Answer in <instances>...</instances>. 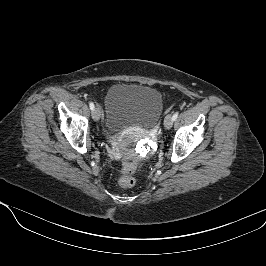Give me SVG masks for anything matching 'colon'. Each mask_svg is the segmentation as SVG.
<instances>
[{
  "instance_id": "5ec220e1",
  "label": "colon",
  "mask_w": 266,
  "mask_h": 266,
  "mask_svg": "<svg viewBox=\"0 0 266 266\" xmlns=\"http://www.w3.org/2000/svg\"><path fill=\"white\" fill-rule=\"evenodd\" d=\"M136 161H125L122 165V172L117 177V183L123 188H131L135 185V179L132 177V173L136 168Z\"/></svg>"
}]
</instances>
